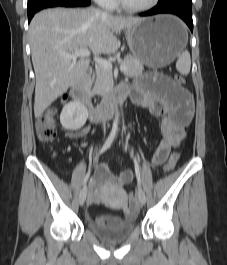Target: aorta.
<instances>
[{
  "label": "aorta",
  "instance_id": "obj_1",
  "mask_svg": "<svg viewBox=\"0 0 227 265\" xmlns=\"http://www.w3.org/2000/svg\"><path fill=\"white\" fill-rule=\"evenodd\" d=\"M118 119H119V112H118V111H116V113H115V119H114V121H115V122H117V121H118Z\"/></svg>",
  "mask_w": 227,
  "mask_h": 265
}]
</instances>
